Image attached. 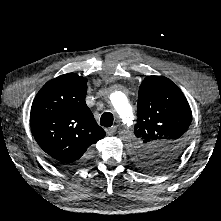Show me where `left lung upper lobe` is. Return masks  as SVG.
<instances>
[{
	"mask_svg": "<svg viewBox=\"0 0 221 221\" xmlns=\"http://www.w3.org/2000/svg\"><path fill=\"white\" fill-rule=\"evenodd\" d=\"M137 116L134 159L149 171L166 170L179 160L187 143L192 121L188 101L168 78L149 76L139 88Z\"/></svg>",
	"mask_w": 221,
	"mask_h": 221,
	"instance_id": "1",
	"label": "left lung upper lobe"
}]
</instances>
